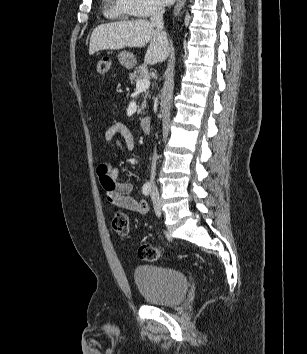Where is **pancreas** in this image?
I'll return each instance as SVG.
<instances>
[{
  "mask_svg": "<svg viewBox=\"0 0 307 354\" xmlns=\"http://www.w3.org/2000/svg\"><path fill=\"white\" fill-rule=\"evenodd\" d=\"M150 75H149V71L147 69V67L145 65L139 66L135 68V71L133 73L130 74V81L131 83H133L134 81L137 82L141 79H149ZM146 97H147V93L145 94L144 100L141 104V107L138 110V113H142L144 111V109L146 108Z\"/></svg>",
  "mask_w": 307,
  "mask_h": 354,
  "instance_id": "cf45deb5",
  "label": "pancreas"
}]
</instances>
